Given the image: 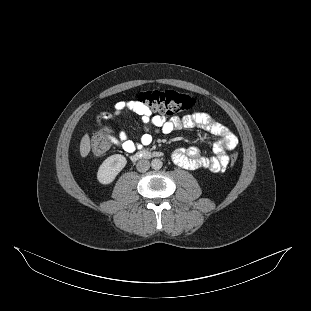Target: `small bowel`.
Instances as JSON below:
<instances>
[{"mask_svg": "<svg viewBox=\"0 0 311 311\" xmlns=\"http://www.w3.org/2000/svg\"><path fill=\"white\" fill-rule=\"evenodd\" d=\"M114 109L113 113H102L98 119L118 120L123 114L133 112L140 116L143 123V132L139 142L129 139L123 130L117 135L110 136L116 147L128 153L151 144L155 135H167L182 128H199L216 136L218 140L213 145V156L211 157L202 155L196 147L178 148L173 151V162L185 169L224 172L229 163L227 151L234 149L238 142L236 135L230 129L205 112H195L183 118L167 119L154 114L148 106L138 100L119 101L115 104Z\"/></svg>", "mask_w": 311, "mask_h": 311, "instance_id": "c3829d8e", "label": "small bowel"}]
</instances>
